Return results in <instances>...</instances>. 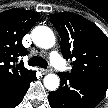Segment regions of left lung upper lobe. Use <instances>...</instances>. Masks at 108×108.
I'll return each mask as SVG.
<instances>
[{
	"mask_svg": "<svg viewBox=\"0 0 108 108\" xmlns=\"http://www.w3.org/2000/svg\"><path fill=\"white\" fill-rule=\"evenodd\" d=\"M51 21L60 34L63 57L73 60L69 74L108 81L107 36L75 13L52 14Z\"/></svg>",
	"mask_w": 108,
	"mask_h": 108,
	"instance_id": "5c2ea615",
	"label": "left lung upper lobe"
}]
</instances>
